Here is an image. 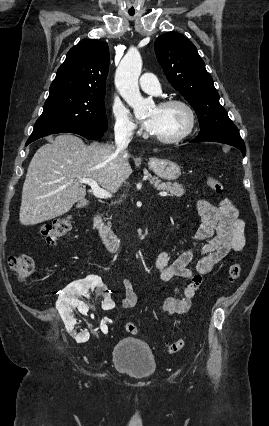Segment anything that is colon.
Wrapping results in <instances>:
<instances>
[{
	"mask_svg": "<svg viewBox=\"0 0 269 426\" xmlns=\"http://www.w3.org/2000/svg\"><path fill=\"white\" fill-rule=\"evenodd\" d=\"M206 183L208 187L216 194H222L224 186L221 181L213 177H207ZM72 229V219L70 216H61L56 218L53 223L41 229V236L43 240L50 245L55 244L60 238L69 234ZM9 266L14 273L15 279L18 282H26L35 272V264L29 255H13L9 257ZM242 272V265L239 262L231 264L229 267L228 275L230 281L238 279ZM125 331L130 334L138 332V327L133 322L125 324ZM185 346V340L179 339L167 345L169 353H176Z\"/></svg>",
	"mask_w": 269,
	"mask_h": 426,
	"instance_id": "obj_1",
	"label": "colon"
}]
</instances>
